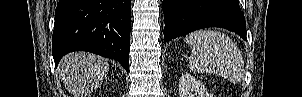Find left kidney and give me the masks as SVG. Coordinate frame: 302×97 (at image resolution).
Listing matches in <instances>:
<instances>
[{
  "instance_id": "left-kidney-1",
  "label": "left kidney",
  "mask_w": 302,
  "mask_h": 97,
  "mask_svg": "<svg viewBox=\"0 0 302 97\" xmlns=\"http://www.w3.org/2000/svg\"><path fill=\"white\" fill-rule=\"evenodd\" d=\"M179 97H212V95L200 81L185 73L179 80Z\"/></svg>"
}]
</instances>
